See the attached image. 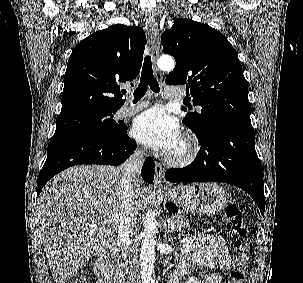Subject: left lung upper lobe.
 Returning <instances> with one entry per match:
<instances>
[{
	"label": "left lung upper lobe",
	"mask_w": 303,
	"mask_h": 283,
	"mask_svg": "<svg viewBox=\"0 0 303 283\" xmlns=\"http://www.w3.org/2000/svg\"><path fill=\"white\" fill-rule=\"evenodd\" d=\"M161 44L164 53L176 61L166 83L186 84L194 106L201 108L182 120L196 135H203L217 123L251 124L247 82L236 52L224 35L207 24L181 18L165 30Z\"/></svg>",
	"instance_id": "5c2ea615"
}]
</instances>
